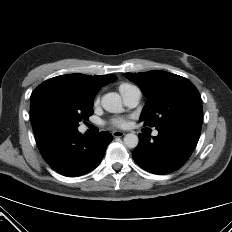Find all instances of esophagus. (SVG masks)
I'll return each instance as SVG.
<instances>
[{"label": "esophagus", "mask_w": 232, "mask_h": 232, "mask_svg": "<svg viewBox=\"0 0 232 232\" xmlns=\"http://www.w3.org/2000/svg\"><path fill=\"white\" fill-rule=\"evenodd\" d=\"M113 137H122L123 135H125V133L123 131H113L112 132Z\"/></svg>", "instance_id": "esophagus-1"}]
</instances>
